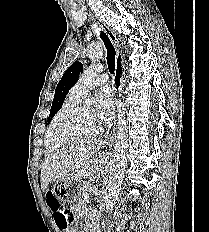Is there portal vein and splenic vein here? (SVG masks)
Here are the masks:
<instances>
[{"instance_id":"obj_1","label":"portal vein and splenic vein","mask_w":209,"mask_h":232,"mask_svg":"<svg viewBox=\"0 0 209 232\" xmlns=\"http://www.w3.org/2000/svg\"><path fill=\"white\" fill-rule=\"evenodd\" d=\"M83 198H84V200H88L89 199V194L87 192L83 193Z\"/></svg>"}]
</instances>
